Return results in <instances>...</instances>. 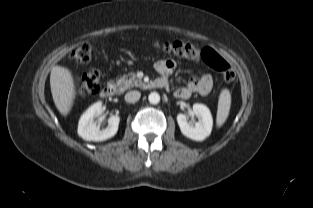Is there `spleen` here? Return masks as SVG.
I'll return each instance as SVG.
<instances>
[{
  "mask_svg": "<svg viewBox=\"0 0 313 208\" xmlns=\"http://www.w3.org/2000/svg\"><path fill=\"white\" fill-rule=\"evenodd\" d=\"M230 105H231L230 92L227 89H224L222 90L218 101V110L216 119L218 127L222 126L225 123L229 115Z\"/></svg>",
  "mask_w": 313,
  "mask_h": 208,
  "instance_id": "spleen-1",
  "label": "spleen"
}]
</instances>
